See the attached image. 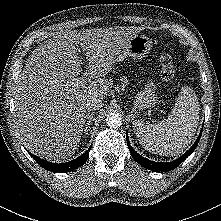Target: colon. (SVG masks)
<instances>
[{
  "mask_svg": "<svg viewBox=\"0 0 221 221\" xmlns=\"http://www.w3.org/2000/svg\"><path fill=\"white\" fill-rule=\"evenodd\" d=\"M176 69L171 56L164 55L160 59V77L165 85H168L175 77Z\"/></svg>",
  "mask_w": 221,
  "mask_h": 221,
  "instance_id": "colon-1",
  "label": "colon"
}]
</instances>
